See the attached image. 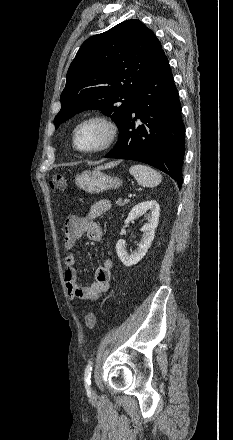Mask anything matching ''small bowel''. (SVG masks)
Masks as SVG:
<instances>
[{"mask_svg":"<svg viewBox=\"0 0 233 440\" xmlns=\"http://www.w3.org/2000/svg\"><path fill=\"white\" fill-rule=\"evenodd\" d=\"M111 208L109 200L103 199L96 202L86 214H73L68 216L65 223V248L68 251L65 257L64 280L67 292L71 298L90 301L99 298L108 291L110 286L113 261L103 259L95 271V280L90 285H80L77 282V255L74 248L83 233H87L89 240L97 242L102 238V228L96 221Z\"/></svg>","mask_w":233,"mask_h":440,"instance_id":"c3829d8e","label":"small bowel"}]
</instances>
